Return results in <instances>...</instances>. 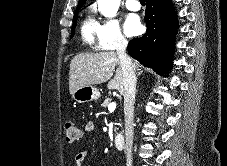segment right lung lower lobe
<instances>
[{"label": "right lung lower lobe", "mask_w": 227, "mask_h": 166, "mask_svg": "<svg viewBox=\"0 0 227 166\" xmlns=\"http://www.w3.org/2000/svg\"><path fill=\"white\" fill-rule=\"evenodd\" d=\"M146 2L147 31L129 42L128 53L144 66L166 73L171 66L177 29L175 13L170 0Z\"/></svg>", "instance_id": "98d812e1"}]
</instances>
